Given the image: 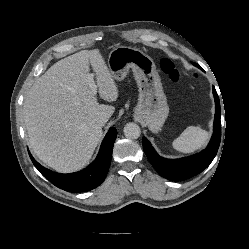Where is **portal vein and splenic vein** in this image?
<instances>
[{
    "label": "portal vein and splenic vein",
    "mask_w": 249,
    "mask_h": 249,
    "mask_svg": "<svg viewBox=\"0 0 249 249\" xmlns=\"http://www.w3.org/2000/svg\"><path fill=\"white\" fill-rule=\"evenodd\" d=\"M89 86H90V89H91L93 95H96L97 86H96V84H95V82L93 80L90 81Z\"/></svg>",
    "instance_id": "obj_1"
}]
</instances>
